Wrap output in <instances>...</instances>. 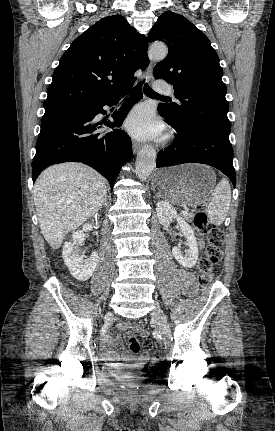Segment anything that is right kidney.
Listing matches in <instances>:
<instances>
[{"label":"right kidney","instance_id":"ca27d5eb","mask_svg":"<svg viewBox=\"0 0 275 431\" xmlns=\"http://www.w3.org/2000/svg\"><path fill=\"white\" fill-rule=\"evenodd\" d=\"M89 228H91L90 224H84L83 230ZM83 230L72 233V241L64 244L62 252L64 263L71 275L80 281H86L92 276L99 259L96 252H93L88 259L80 255L79 246L85 240Z\"/></svg>","mask_w":275,"mask_h":431}]
</instances>
